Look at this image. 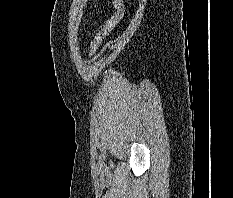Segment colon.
<instances>
[{
	"instance_id": "5ec220e1",
	"label": "colon",
	"mask_w": 233,
	"mask_h": 198,
	"mask_svg": "<svg viewBox=\"0 0 233 198\" xmlns=\"http://www.w3.org/2000/svg\"><path fill=\"white\" fill-rule=\"evenodd\" d=\"M113 5L116 10L115 14L104 24L100 31L96 34L94 41L91 44L90 55L95 54L102 42L114 30V28L122 21L125 15V8L122 0H113Z\"/></svg>"
}]
</instances>
